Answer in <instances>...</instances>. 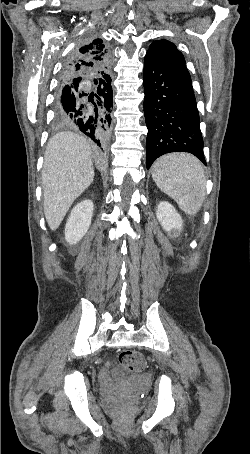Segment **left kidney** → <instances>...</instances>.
Wrapping results in <instances>:
<instances>
[{"label": "left kidney", "instance_id": "1", "mask_svg": "<svg viewBox=\"0 0 250 454\" xmlns=\"http://www.w3.org/2000/svg\"><path fill=\"white\" fill-rule=\"evenodd\" d=\"M156 216L166 232L182 229L183 220L170 203L165 201L160 202L156 210Z\"/></svg>", "mask_w": 250, "mask_h": 454}]
</instances>
